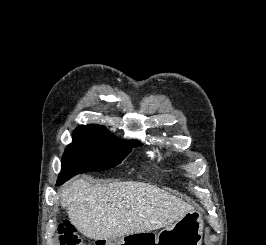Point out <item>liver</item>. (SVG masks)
I'll list each match as a JSON object with an SVG mask.
<instances>
[{"mask_svg":"<svg viewBox=\"0 0 266 245\" xmlns=\"http://www.w3.org/2000/svg\"><path fill=\"white\" fill-rule=\"evenodd\" d=\"M62 207L84 237L114 241L117 237L147 233L180 221L194 207L156 185L137 181L89 183L77 179L61 193Z\"/></svg>","mask_w":266,"mask_h":245,"instance_id":"liver-1","label":"liver"}]
</instances>
